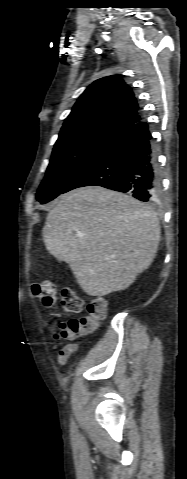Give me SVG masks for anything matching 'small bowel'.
Instances as JSON below:
<instances>
[{
	"mask_svg": "<svg viewBox=\"0 0 187 479\" xmlns=\"http://www.w3.org/2000/svg\"><path fill=\"white\" fill-rule=\"evenodd\" d=\"M79 346L76 344H65L63 345L57 354V363L61 366L65 365L68 359L74 354L78 353Z\"/></svg>",
	"mask_w": 187,
	"mask_h": 479,
	"instance_id": "1",
	"label": "small bowel"
}]
</instances>
